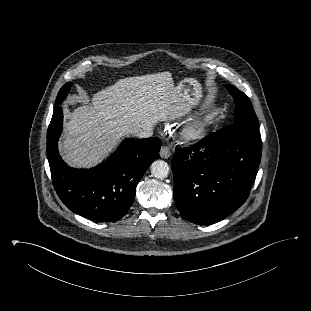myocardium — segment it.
I'll return each instance as SVG.
<instances>
[{"mask_svg":"<svg viewBox=\"0 0 311 311\" xmlns=\"http://www.w3.org/2000/svg\"><path fill=\"white\" fill-rule=\"evenodd\" d=\"M205 134V124L202 121H194L188 124L183 135L187 141L197 142L203 138Z\"/></svg>","mask_w":311,"mask_h":311,"instance_id":"obj_1","label":"myocardium"}]
</instances>
